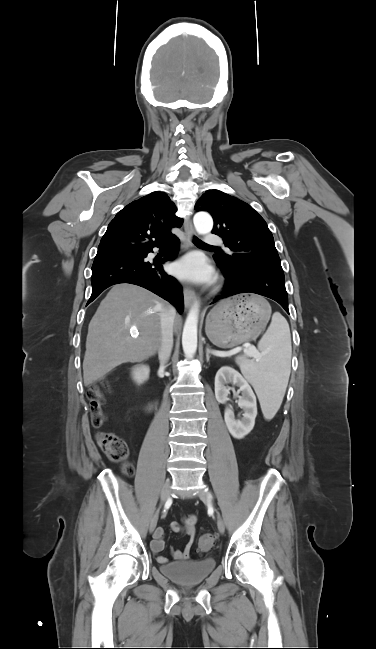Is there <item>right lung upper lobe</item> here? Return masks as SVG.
Instances as JSON below:
<instances>
[{
	"label": "right lung upper lobe",
	"mask_w": 376,
	"mask_h": 649,
	"mask_svg": "<svg viewBox=\"0 0 376 649\" xmlns=\"http://www.w3.org/2000/svg\"><path fill=\"white\" fill-rule=\"evenodd\" d=\"M176 211L175 204L160 191L131 202L110 222L97 255L139 253L173 238L171 229L183 223Z\"/></svg>",
	"instance_id": "obj_1"
}]
</instances>
